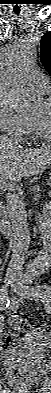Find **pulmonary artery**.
Wrapping results in <instances>:
<instances>
[{
	"mask_svg": "<svg viewBox=\"0 0 51 393\" xmlns=\"http://www.w3.org/2000/svg\"><path fill=\"white\" fill-rule=\"evenodd\" d=\"M31 80L34 86L40 91L41 93H48L50 90L49 79L41 74V73H34L31 77Z\"/></svg>",
	"mask_w": 51,
	"mask_h": 393,
	"instance_id": "1",
	"label": "pulmonary artery"
}]
</instances>
